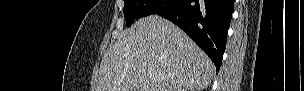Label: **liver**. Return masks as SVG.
Wrapping results in <instances>:
<instances>
[{"label":"liver","instance_id":"6515ba94","mask_svg":"<svg viewBox=\"0 0 304 91\" xmlns=\"http://www.w3.org/2000/svg\"><path fill=\"white\" fill-rule=\"evenodd\" d=\"M214 71L213 62L187 34L151 15L139 19L108 48L96 91H203Z\"/></svg>","mask_w":304,"mask_h":91}]
</instances>
